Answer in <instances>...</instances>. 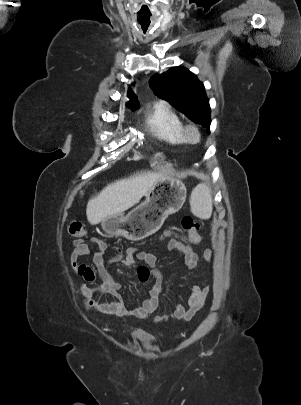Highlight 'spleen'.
<instances>
[{"label": "spleen", "instance_id": "1", "mask_svg": "<svg viewBox=\"0 0 301 405\" xmlns=\"http://www.w3.org/2000/svg\"><path fill=\"white\" fill-rule=\"evenodd\" d=\"M191 211L201 219H208L212 214V197L210 189L205 184L197 185L191 194Z\"/></svg>", "mask_w": 301, "mask_h": 405}]
</instances>
